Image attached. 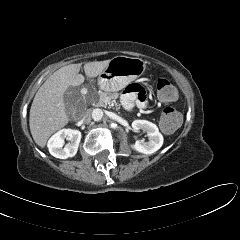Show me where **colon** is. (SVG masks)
Wrapping results in <instances>:
<instances>
[{
	"label": "colon",
	"mask_w": 240,
	"mask_h": 240,
	"mask_svg": "<svg viewBox=\"0 0 240 240\" xmlns=\"http://www.w3.org/2000/svg\"><path fill=\"white\" fill-rule=\"evenodd\" d=\"M158 98L164 103L174 102L178 97L177 89L166 78L159 77L156 80ZM181 123V115L172 107L163 109L160 118V127L166 133L175 131Z\"/></svg>",
	"instance_id": "obj_1"
}]
</instances>
